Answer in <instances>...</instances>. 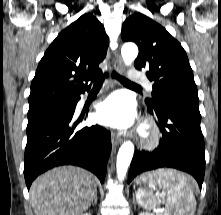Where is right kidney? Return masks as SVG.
I'll return each instance as SVG.
<instances>
[{"mask_svg":"<svg viewBox=\"0 0 221 215\" xmlns=\"http://www.w3.org/2000/svg\"><path fill=\"white\" fill-rule=\"evenodd\" d=\"M82 215H91L90 213H85V214H82Z\"/></svg>","mask_w":221,"mask_h":215,"instance_id":"obj_1","label":"right kidney"}]
</instances>
